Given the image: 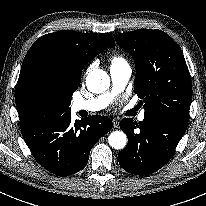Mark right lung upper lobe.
<instances>
[{
    "mask_svg": "<svg viewBox=\"0 0 206 206\" xmlns=\"http://www.w3.org/2000/svg\"><path fill=\"white\" fill-rule=\"evenodd\" d=\"M108 47H115V42L113 37L106 33H79L64 30L37 39L24 58L16 85L15 100L19 117L23 111L28 78L40 58L43 56L54 58L68 81L79 87L84 66Z\"/></svg>",
    "mask_w": 206,
    "mask_h": 206,
    "instance_id": "right-lung-upper-lobe-1",
    "label": "right lung upper lobe"
}]
</instances>
